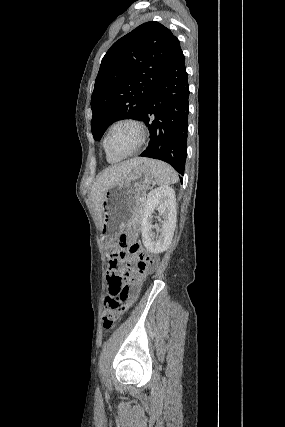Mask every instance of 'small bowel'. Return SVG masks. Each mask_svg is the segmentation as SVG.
I'll return each instance as SVG.
<instances>
[{
  "mask_svg": "<svg viewBox=\"0 0 285 427\" xmlns=\"http://www.w3.org/2000/svg\"><path fill=\"white\" fill-rule=\"evenodd\" d=\"M122 260L126 259V254L124 253L121 256ZM158 262V259L156 257L153 258V265H156ZM111 273H117V274H122V268L119 265V259H110V266L107 270V275L111 274ZM109 292L111 294V289L109 288ZM132 301H126L121 308L119 309V314H123L125 311L128 310V308L131 306Z\"/></svg>",
  "mask_w": 285,
  "mask_h": 427,
  "instance_id": "obj_1",
  "label": "small bowel"
}]
</instances>
